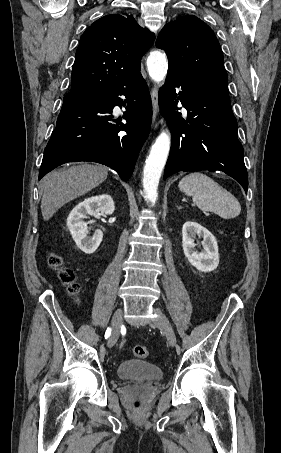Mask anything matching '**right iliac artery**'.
Returning <instances> with one entry per match:
<instances>
[{
  "instance_id": "obj_1",
  "label": "right iliac artery",
  "mask_w": 281,
  "mask_h": 453,
  "mask_svg": "<svg viewBox=\"0 0 281 453\" xmlns=\"http://www.w3.org/2000/svg\"><path fill=\"white\" fill-rule=\"evenodd\" d=\"M111 335V328H107L106 332H105V339H107L108 337H110Z\"/></svg>"
}]
</instances>
